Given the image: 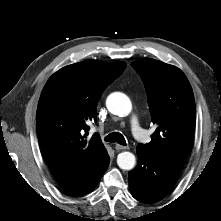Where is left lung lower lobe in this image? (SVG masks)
I'll return each mask as SVG.
<instances>
[{"label": "left lung lower lobe", "instance_id": "1", "mask_svg": "<svg viewBox=\"0 0 221 221\" xmlns=\"http://www.w3.org/2000/svg\"><path fill=\"white\" fill-rule=\"evenodd\" d=\"M138 164L129 172L132 196L143 203L163 199L174 187L182 168L137 148Z\"/></svg>", "mask_w": 221, "mask_h": 221}]
</instances>
